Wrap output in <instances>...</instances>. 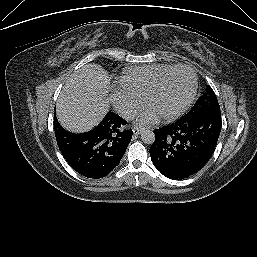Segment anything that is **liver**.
I'll use <instances>...</instances> for the list:
<instances>
[{
  "instance_id": "1",
  "label": "liver",
  "mask_w": 257,
  "mask_h": 257,
  "mask_svg": "<svg viewBox=\"0 0 257 257\" xmlns=\"http://www.w3.org/2000/svg\"><path fill=\"white\" fill-rule=\"evenodd\" d=\"M110 78L105 69L89 63L66 81L56 104L61 125L71 132H85L95 127L109 110L107 93Z\"/></svg>"
}]
</instances>
